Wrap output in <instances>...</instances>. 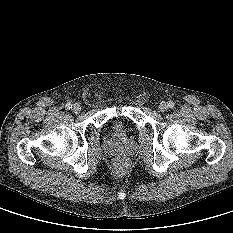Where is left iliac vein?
<instances>
[{
    "mask_svg": "<svg viewBox=\"0 0 233 233\" xmlns=\"http://www.w3.org/2000/svg\"><path fill=\"white\" fill-rule=\"evenodd\" d=\"M159 111L160 112H165L166 110H167V104H166V102H161L160 104H159Z\"/></svg>",
    "mask_w": 233,
    "mask_h": 233,
    "instance_id": "4c4485c4",
    "label": "left iliac vein"
}]
</instances>
